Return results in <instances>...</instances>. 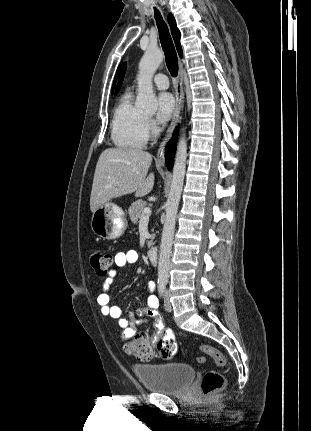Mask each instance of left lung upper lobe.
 I'll use <instances>...</instances> for the list:
<instances>
[{
  "instance_id": "1",
  "label": "left lung upper lobe",
  "mask_w": 311,
  "mask_h": 431,
  "mask_svg": "<svg viewBox=\"0 0 311 431\" xmlns=\"http://www.w3.org/2000/svg\"><path fill=\"white\" fill-rule=\"evenodd\" d=\"M125 71H126V64H124V65H123V67H122V69H121L120 78H119V83H118V86H117L116 93L118 92L119 87H120V85H121V83H122V81H123V77H124Z\"/></svg>"
}]
</instances>
